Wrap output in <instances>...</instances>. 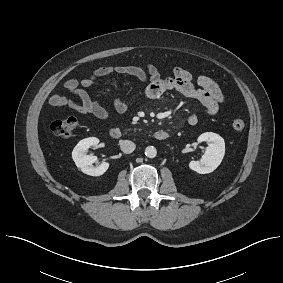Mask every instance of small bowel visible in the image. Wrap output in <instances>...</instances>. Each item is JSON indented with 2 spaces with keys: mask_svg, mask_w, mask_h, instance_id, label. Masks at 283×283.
Masks as SVG:
<instances>
[{
  "mask_svg": "<svg viewBox=\"0 0 283 283\" xmlns=\"http://www.w3.org/2000/svg\"><path fill=\"white\" fill-rule=\"evenodd\" d=\"M111 74L128 75L137 78L145 84L144 96L147 99H157L167 91H177L183 96L199 102L206 112L215 116L218 114L224 96L217 83L208 76L201 75L195 80L193 75L181 68L175 67L171 77H163L159 70L152 64L128 65V66H106L94 70L89 76L78 80L68 79L64 83L66 91L76 97L79 101L69 96L52 94L49 104L54 108H68L82 114H93L99 119H107L109 112L94 100L87 92L99 78ZM197 86H196V85ZM116 112L123 113L128 109V104L117 97L113 101ZM199 118L191 114L187 123L190 126L198 124Z\"/></svg>",
  "mask_w": 283,
  "mask_h": 283,
  "instance_id": "1",
  "label": "small bowel"
}]
</instances>
